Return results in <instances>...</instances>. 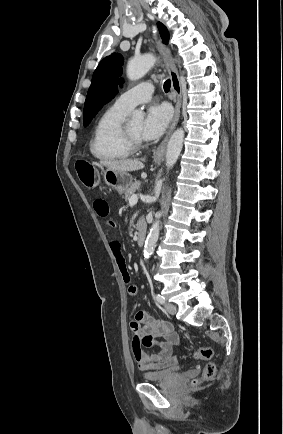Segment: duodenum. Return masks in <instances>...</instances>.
Returning a JSON list of instances; mask_svg holds the SVG:
<instances>
[{
	"instance_id": "410a0bca",
	"label": "duodenum",
	"mask_w": 283,
	"mask_h": 434,
	"mask_svg": "<svg viewBox=\"0 0 283 434\" xmlns=\"http://www.w3.org/2000/svg\"><path fill=\"white\" fill-rule=\"evenodd\" d=\"M146 225L143 221H139L137 227V244L142 246L146 239Z\"/></svg>"
}]
</instances>
